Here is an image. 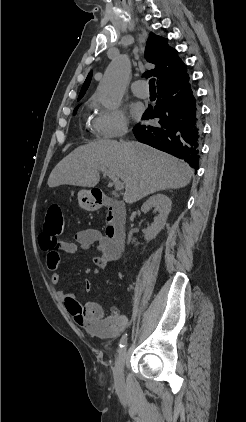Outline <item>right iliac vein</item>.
I'll use <instances>...</instances> for the list:
<instances>
[{"label": "right iliac vein", "mask_w": 246, "mask_h": 422, "mask_svg": "<svg viewBox=\"0 0 246 422\" xmlns=\"http://www.w3.org/2000/svg\"><path fill=\"white\" fill-rule=\"evenodd\" d=\"M127 350L126 347L122 348L119 351V354L116 359L115 367L113 370V376H114V383L117 389H122L124 386V364L126 360Z\"/></svg>", "instance_id": "right-iliac-vein-1"}]
</instances>
